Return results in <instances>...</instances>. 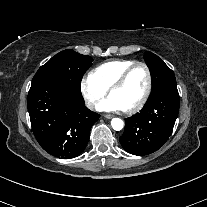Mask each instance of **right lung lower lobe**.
<instances>
[{
	"label": "right lung lower lobe",
	"instance_id": "98d812e1",
	"mask_svg": "<svg viewBox=\"0 0 207 207\" xmlns=\"http://www.w3.org/2000/svg\"><path fill=\"white\" fill-rule=\"evenodd\" d=\"M28 111L33 133L48 153L69 159L82 153L100 117L84 106L81 92L55 82L31 85Z\"/></svg>",
	"mask_w": 207,
	"mask_h": 207
}]
</instances>
